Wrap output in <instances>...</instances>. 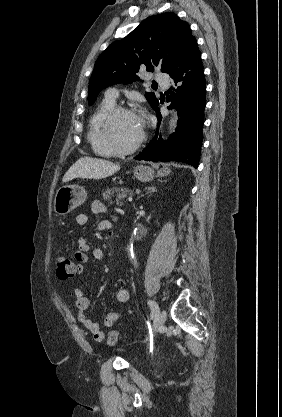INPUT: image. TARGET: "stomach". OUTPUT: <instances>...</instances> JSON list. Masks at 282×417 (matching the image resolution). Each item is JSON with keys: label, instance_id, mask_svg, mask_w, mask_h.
Returning a JSON list of instances; mask_svg holds the SVG:
<instances>
[{"label": "stomach", "instance_id": "obj_1", "mask_svg": "<svg viewBox=\"0 0 282 417\" xmlns=\"http://www.w3.org/2000/svg\"><path fill=\"white\" fill-rule=\"evenodd\" d=\"M134 176L142 182H149L156 176H167L170 172L168 166H163L155 172L151 166H145V164H138L134 166ZM87 198V190L84 186L79 184H66V186H60L58 188L54 198V211L57 215H67L71 213L73 209H77V206L83 204Z\"/></svg>", "mask_w": 282, "mask_h": 417}]
</instances>
